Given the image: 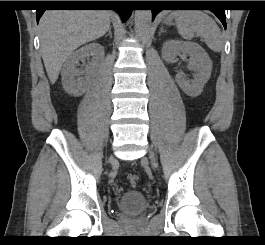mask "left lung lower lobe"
Instances as JSON below:
<instances>
[{
  "mask_svg": "<svg viewBox=\"0 0 265 245\" xmlns=\"http://www.w3.org/2000/svg\"><path fill=\"white\" fill-rule=\"evenodd\" d=\"M195 5V1H158L156 2V8L152 10V19H154L155 15L163 10L159 7H188ZM212 11L222 22L223 26L226 29V20H225V10L221 8L211 9Z\"/></svg>",
  "mask_w": 265,
  "mask_h": 245,
  "instance_id": "0a47b994",
  "label": "left lung lower lobe"
}]
</instances>
